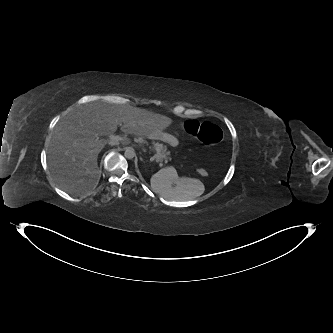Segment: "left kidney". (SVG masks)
<instances>
[{
    "label": "left kidney",
    "mask_w": 333,
    "mask_h": 333,
    "mask_svg": "<svg viewBox=\"0 0 333 333\" xmlns=\"http://www.w3.org/2000/svg\"><path fill=\"white\" fill-rule=\"evenodd\" d=\"M171 170L173 171L174 174L177 175V172H176V170L173 167H171Z\"/></svg>",
    "instance_id": "left-kidney-1"
}]
</instances>
